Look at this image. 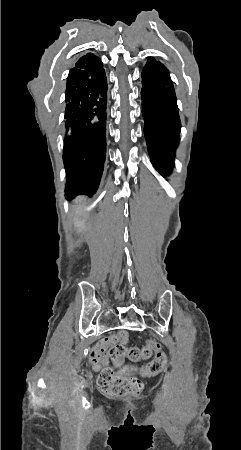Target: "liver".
<instances>
[{"label": "liver", "mask_w": 241, "mask_h": 450, "mask_svg": "<svg viewBox=\"0 0 241 450\" xmlns=\"http://www.w3.org/2000/svg\"><path fill=\"white\" fill-rule=\"evenodd\" d=\"M84 200H87L85 196H78V198H75L74 202L75 204H82ZM85 206H75L74 208V226L77 228L78 232H85L86 230V220H83V218H80V216H85Z\"/></svg>", "instance_id": "obj_1"}]
</instances>
